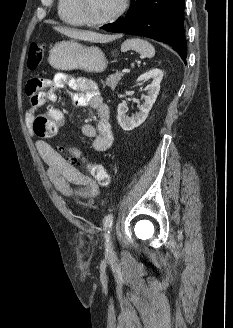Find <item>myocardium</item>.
<instances>
[{
	"label": "myocardium",
	"instance_id": "f54148a6",
	"mask_svg": "<svg viewBox=\"0 0 233 328\" xmlns=\"http://www.w3.org/2000/svg\"><path fill=\"white\" fill-rule=\"evenodd\" d=\"M128 4L129 0H121L120 6L112 14L103 19H93L86 12L85 0H76V8L79 14L83 18L85 24L90 26H102L115 21L125 13Z\"/></svg>",
	"mask_w": 233,
	"mask_h": 328
}]
</instances>
